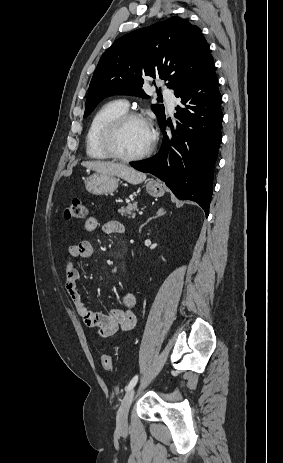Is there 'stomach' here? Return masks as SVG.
Here are the masks:
<instances>
[{"label": "stomach", "mask_w": 283, "mask_h": 463, "mask_svg": "<svg viewBox=\"0 0 283 463\" xmlns=\"http://www.w3.org/2000/svg\"><path fill=\"white\" fill-rule=\"evenodd\" d=\"M118 185L119 178L99 173L93 174L85 181L86 190L95 195L112 194L117 190ZM146 191L153 197H161L165 193L161 182L154 179L146 183Z\"/></svg>", "instance_id": "1"}]
</instances>
